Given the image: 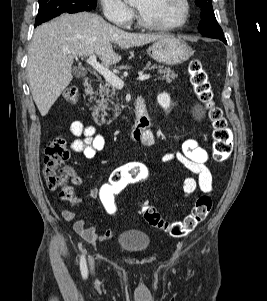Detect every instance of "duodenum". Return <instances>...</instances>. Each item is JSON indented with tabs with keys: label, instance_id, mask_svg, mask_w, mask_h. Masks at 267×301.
Masks as SVG:
<instances>
[{
	"label": "duodenum",
	"instance_id": "410a0bca",
	"mask_svg": "<svg viewBox=\"0 0 267 301\" xmlns=\"http://www.w3.org/2000/svg\"><path fill=\"white\" fill-rule=\"evenodd\" d=\"M83 87L87 94L93 92V85L89 80H85ZM135 124L130 129L128 138L131 141H139L143 132L147 131L151 125V119L147 112L145 99L142 96H139L135 101Z\"/></svg>",
	"mask_w": 267,
	"mask_h": 301
}]
</instances>
